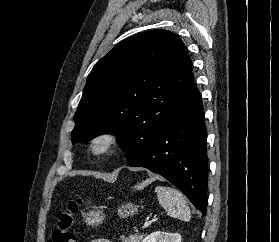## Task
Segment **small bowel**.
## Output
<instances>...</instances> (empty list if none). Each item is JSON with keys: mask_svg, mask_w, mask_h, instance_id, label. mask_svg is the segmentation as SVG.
<instances>
[{"mask_svg": "<svg viewBox=\"0 0 279 242\" xmlns=\"http://www.w3.org/2000/svg\"><path fill=\"white\" fill-rule=\"evenodd\" d=\"M91 242H112V241L107 240V239H103V238H99V239H94Z\"/></svg>", "mask_w": 279, "mask_h": 242, "instance_id": "small-bowel-1", "label": "small bowel"}]
</instances>
